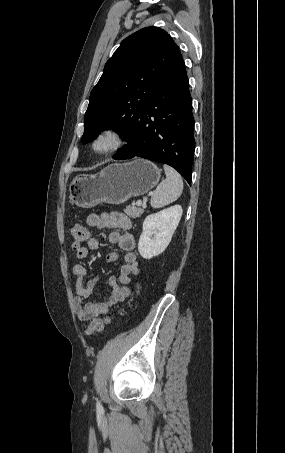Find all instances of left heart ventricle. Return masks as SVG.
<instances>
[{
    "label": "left heart ventricle",
    "mask_w": 285,
    "mask_h": 453,
    "mask_svg": "<svg viewBox=\"0 0 285 453\" xmlns=\"http://www.w3.org/2000/svg\"><path fill=\"white\" fill-rule=\"evenodd\" d=\"M109 143L110 142L107 139H103L97 144V147L98 149L103 150L109 146Z\"/></svg>",
    "instance_id": "obj_1"
}]
</instances>
